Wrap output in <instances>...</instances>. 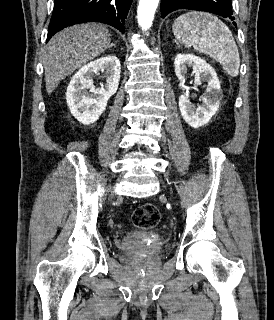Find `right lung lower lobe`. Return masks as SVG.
Masks as SVG:
<instances>
[{
    "label": "right lung lower lobe",
    "mask_w": 274,
    "mask_h": 320,
    "mask_svg": "<svg viewBox=\"0 0 274 320\" xmlns=\"http://www.w3.org/2000/svg\"><path fill=\"white\" fill-rule=\"evenodd\" d=\"M132 0H55L47 41L58 31L84 22L109 24L124 33Z\"/></svg>",
    "instance_id": "right-lung-lower-lobe-1"
}]
</instances>
